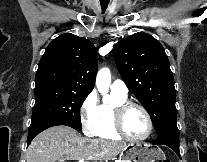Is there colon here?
<instances>
[{
    "label": "colon",
    "mask_w": 207,
    "mask_h": 162,
    "mask_svg": "<svg viewBox=\"0 0 207 162\" xmlns=\"http://www.w3.org/2000/svg\"><path fill=\"white\" fill-rule=\"evenodd\" d=\"M158 162H170V161H168V160H160Z\"/></svg>",
    "instance_id": "obj_1"
}]
</instances>
